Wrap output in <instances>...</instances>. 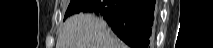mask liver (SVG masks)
<instances>
[{
  "label": "liver",
  "instance_id": "1",
  "mask_svg": "<svg viewBox=\"0 0 213 48\" xmlns=\"http://www.w3.org/2000/svg\"><path fill=\"white\" fill-rule=\"evenodd\" d=\"M56 48H126L107 23L93 14H77L63 24Z\"/></svg>",
  "mask_w": 213,
  "mask_h": 48
}]
</instances>
